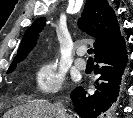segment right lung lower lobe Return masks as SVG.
<instances>
[{
    "label": "right lung lower lobe",
    "instance_id": "1",
    "mask_svg": "<svg viewBox=\"0 0 133 118\" xmlns=\"http://www.w3.org/2000/svg\"><path fill=\"white\" fill-rule=\"evenodd\" d=\"M95 62L99 65H96L94 71L101 75L95 82V93L87 95L81 87L71 93L76 112L81 118H97L116 102L127 64L124 38L121 37L114 44L98 52Z\"/></svg>",
    "mask_w": 133,
    "mask_h": 118
}]
</instances>
